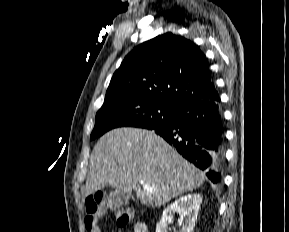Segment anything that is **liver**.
Here are the masks:
<instances>
[{"label":"liver","instance_id":"1","mask_svg":"<svg viewBox=\"0 0 289 232\" xmlns=\"http://www.w3.org/2000/svg\"><path fill=\"white\" fill-rule=\"evenodd\" d=\"M204 181V174L154 131L117 128L95 145L84 194L87 197L105 186L122 192L134 190L142 204L158 207L199 188ZM142 183L152 191L141 188Z\"/></svg>","mask_w":289,"mask_h":232}]
</instances>
